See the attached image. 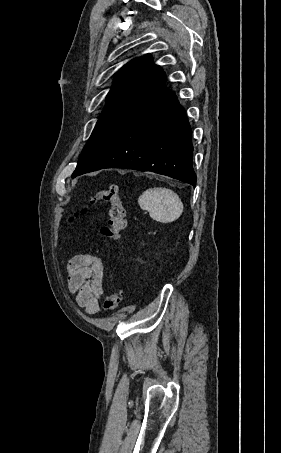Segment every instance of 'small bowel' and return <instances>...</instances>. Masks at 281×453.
Here are the masks:
<instances>
[{"label": "small bowel", "instance_id": "obj_1", "mask_svg": "<svg viewBox=\"0 0 281 453\" xmlns=\"http://www.w3.org/2000/svg\"><path fill=\"white\" fill-rule=\"evenodd\" d=\"M104 269L103 260L93 253L77 254L69 260L68 287L75 293L77 304L87 314L99 312Z\"/></svg>", "mask_w": 281, "mask_h": 453}]
</instances>
